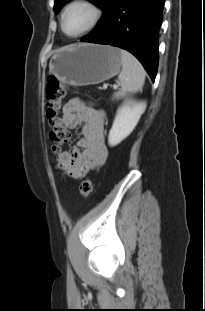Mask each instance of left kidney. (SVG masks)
Here are the masks:
<instances>
[{
  "instance_id": "obj_1",
  "label": "left kidney",
  "mask_w": 205,
  "mask_h": 311,
  "mask_svg": "<svg viewBox=\"0 0 205 311\" xmlns=\"http://www.w3.org/2000/svg\"><path fill=\"white\" fill-rule=\"evenodd\" d=\"M145 109L146 103L140 102L128 103L117 110L108 136L110 146H116L131 134Z\"/></svg>"
}]
</instances>
